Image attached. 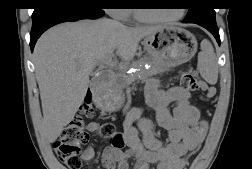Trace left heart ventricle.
Masks as SVG:
<instances>
[{"mask_svg": "<svg viewBox=\"0 0 252 169\" xmlns=\"http://www.w3.org/2000/svg\"><path fill=\"white\" fill-rule=\"evenodd\" d=\"M140 12L145 17H150V18L170 17V16H174L175 14H177L176 11H174V9H172V10L141 9Z\"/></svg>", "mask_w": 252, "mask_h": 169, "instance_id": "obj_1", "label": "left heart ventricle"}]
</instances>
